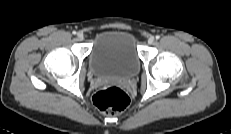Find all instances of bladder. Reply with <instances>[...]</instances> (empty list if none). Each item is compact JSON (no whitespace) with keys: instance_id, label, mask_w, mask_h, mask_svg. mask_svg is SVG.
Here are the masks:
<instances>
[{"instance_id":"bladder-1","label":"bladder","mask_w":231,"mask_h":134,"mask_svg":"<svg viewBox=\"0 0 231 134\" xmlns=\"http://www.w3.org/2000/svg\"><path fill=\"white\" fill-rule=\"evenodd\" d=\"M140 65L135 36L125 30L98 33L89 55L90 71L96 76L130 77Z\"/></svg>"}]
</instances>
